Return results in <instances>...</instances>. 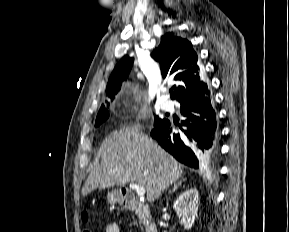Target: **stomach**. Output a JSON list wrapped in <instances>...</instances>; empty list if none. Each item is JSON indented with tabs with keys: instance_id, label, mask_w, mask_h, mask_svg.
<instances>
[{
	"instance_id": "stomach-1",
	"label": "stomach",
	"mask_w": 289,
	"mask_h": 232,
	"mask_svg": "<svg viewBox=\"0 0 289 232\" xmlns=\"http://www.w3.org/2000/svg\"><path fill=\"white\" fill-rule=\"evenodd\" d=\"M108 201L110 203H115L121 201V197L118 192H112L108 195Z\"/></svg>"
}]
</instances>
